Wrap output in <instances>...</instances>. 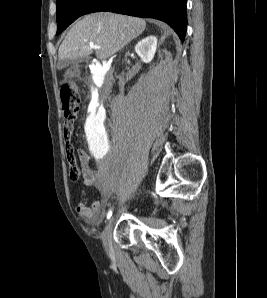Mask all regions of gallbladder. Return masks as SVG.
<instances>
[{"mask_svg":"<svg viewBox=\"0 0 267 298\" xmlns=\"http://www.w3.org/2000/svg\"><path fill=\"white\" fill-rule=\"evenodd\" d=\"M85 58L82 57V58H78V59H75V60H71V59H65V60H59L58 62V67L59 68H65V67H68L72 64H77L78 62L84 60Z\"/></svg>","mask_w":267,"mask_h":298,"instance_id":"obj_1","label":"gallbladder"}]
</instances>
